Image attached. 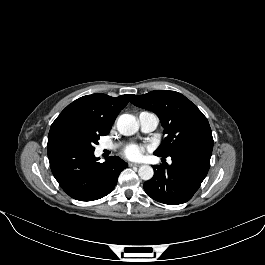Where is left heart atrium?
<instances>
[{"mask_svg": "<svg viewBox=\"0 0 265 265\" xmlns=\"http://www.w3.org/2000/svg\"><path fill=\"white\" fill-rule=\"evenodd\" d=\"M145 150L146 148L144 146L132 143L124 148L123 154L130 160H138L143 156Z\"/></svg>", "mask_w": 265, "mask_h": 265, "instance_id": "39dd6f15", "label": "left heart atrium"}]
</instances>
